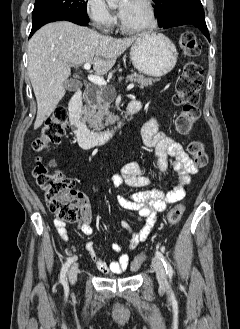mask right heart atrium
Returning a JSON list of instances; mask_svg holds the SVG:
<instances>
[{"instance_id":"d8ad5b80","label":"right heart atrium","mask_w":240,"mask_h":329,"mask_svg":"<svg viewBox=\"0 0 240 329\" xmlns=\"http://www.w3.org/2000/svg\"><path fill=\"white\" fill-rule=\"evenodd\" d=\"M86 13L92 23L102 30L110 29L116 22L104 0H87Z\"/></svg>"}]
</instances>
